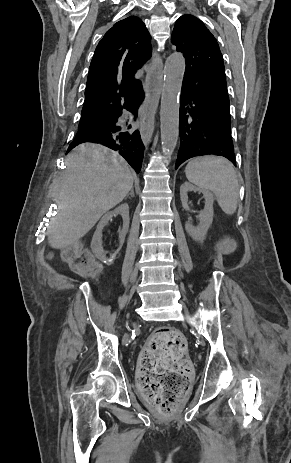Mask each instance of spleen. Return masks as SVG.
Returning a JSON list of instances; mask_svg holds the SVG:
<instances>
[{"instance_id":"1","label":"spleen","mask_w":291,"mask_h":463,"mask_svg":"<svg viewBox=\"0 0 291 463\" xmlns=\"http://www.w3.org/2000/svg\"><path fill=\"white\" fill-rule=\"evenodd\" d=\"M185 174L189 182L212 191L225 214L236 212L239 184L236 172L227 159L215 156L195 158L187 164Z\"/></svg>"}]
</instances>
